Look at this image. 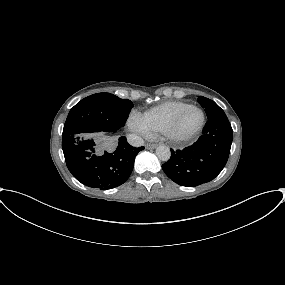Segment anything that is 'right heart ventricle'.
<instances>
[{
	"label": "right heart ventricle",
	"mask_w": 285,
	"mask_h": 285,
	"mask_svg": "<svg viewBox=\"0 0 285 285\" xmlns=\"http://www.w3.org/2000/svg\"><path fill=\"white\" fill-rule=\"evenodd\" d=\"M190 104L182 101H167L158 104L148 111L138 114L137 118L150 132H164L175 117Z\"/></svg>",
	"instance_id": "1"
}]
</instances>
